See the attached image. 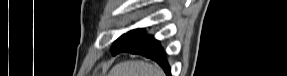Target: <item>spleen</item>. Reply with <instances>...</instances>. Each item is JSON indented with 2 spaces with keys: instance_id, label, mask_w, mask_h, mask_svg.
<instances>
[{
  "instance_id": "3e777b00",
  "label": "spleen",
  "mask_w": 287,
  "mask_h": 76,
  "mask_svg": "<svg viewBox=\"0 0 287 76\" xmlns=\"http://www.w3.org/2000/svg\"><path fill=\"white\" fill-rule=\"evenodd\" d=\"M162 70L143 61H125L115 65L108 76H162Z\"/></svg>"
}]
</instances>
